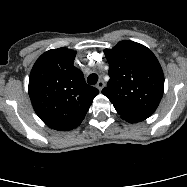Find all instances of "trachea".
<instances>
[{"instance_id": "1", "label": "trachea", "mask_w": 187, "mask_h": 187, "mask_svg": "<svg viewBox=\"0 0 187 187\" xmlns=\"http://www.w3.org/2000/svg\"><path fill=\"white\" fill-rule=\"evenodd\" d=\"M97 81H98V75L95 73L90 74L87 78V82L90 85H95Z\"/></svg>"}]
</instances>
